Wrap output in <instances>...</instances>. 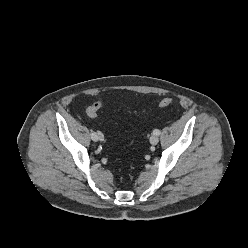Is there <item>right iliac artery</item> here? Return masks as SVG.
Instances as JSON below:
<instances>
[{"label": "right iliac artery", "instance_id": "1", "mask_svg": "<svg viewBox=\"0 0 248 248\" xmlns=\"http://www.w3.org/2000/svg\"><path fill=\"white\" fill-rule=\"evenodd\" d=\"M91 138L93 142L97 141V134L95 132H91Z\"/></svg>", "mask_w": 248, "mask_h": 248}]
</instances>
